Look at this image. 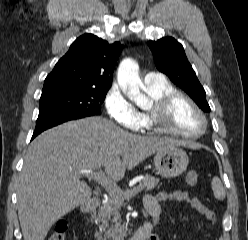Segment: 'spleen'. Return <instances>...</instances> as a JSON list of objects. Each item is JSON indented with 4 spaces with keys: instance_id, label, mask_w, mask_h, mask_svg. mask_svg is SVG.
Here are the masks:
<instances>
[{
    "instance_id": "obj_1",
    "label": "spleen",
    "mask_w": 248,
    "mask_h": 240,
    "mask_svg": "<svg viewBox=\"0 0 248 240\" xmlns=\"http://www.w3.org/2000/svg\"><path fill=\"white\" fill-rule=\"evenodd\" d=\"M211 186L214 196L219 200H223L225 198V191L218 177L212 179Z\"/></svg>"
}]
</instances>
